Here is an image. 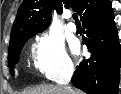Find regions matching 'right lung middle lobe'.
Returning <instances> with one entry per match:
<instances>
[{
	"instance_id": "right-lung-middle-lobe-1",
	"label": "right lung middle lobe",
	"mask_w": 121,
	"mask_h": 94,
	"mask_svg": "<svg viewBox=\"0 0 121 94\" xmlns=\"http://www.w3.org/2000/svg\"><path fill=\"white\" fill-rule=\"evenodd\" d=\"M44 30H28L22 33L20 36H18L15 40L11 41L9 44V50H8V64L9 67H13L17 64L19 60V55L21 52V49L25 42L36 35L37 33H40ZM11 74H14L13 69L11 68Z\"/></svg>"
}]
</instances>
